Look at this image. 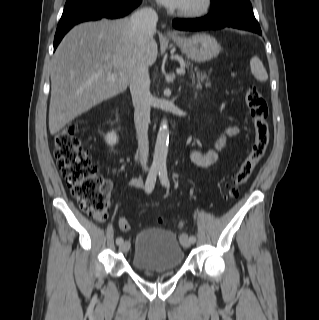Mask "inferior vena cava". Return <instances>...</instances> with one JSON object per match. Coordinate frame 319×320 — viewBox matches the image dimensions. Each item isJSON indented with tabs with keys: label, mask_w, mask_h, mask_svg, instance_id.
<instances>
[{
	"label": "inferior vena cava",
	"mask_w": 319,
	"mask_h": 320,
	"mask_svg": "<svg viewBox=\"0 0 319 320\" xmlns=\"http://www.w3.org/2000/svg\"><path fill=\"white\" fill-rule=\"evenodd\" d=\"M158 16L152 8H142L134 12L130 18L131 32L137 42L144 45L153 38ZM134 122L138 135L139 156L142 168L148 170L149 155L148 124L150 121V78L148 66L144 59L139 60L133 70L130 80Z\"/></svg>",
	"instance_id": "602c4592"
}]
</instances>
